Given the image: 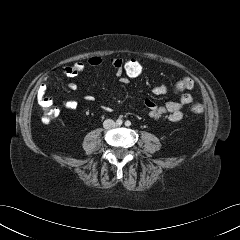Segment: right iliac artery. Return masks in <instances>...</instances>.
<instances>
[{"label": "right iliac artery", "instance_id": "obj_1", "mask_svg": "<svg viewBox=\"0 0 240 240\" xmlns=\"http://www.w3.org/2000/svg\"><path fill=\"white\" fill-rule=\"evenodd\" d=\"M122 123H123V121H122L121 119L116 120V124H117V125L120 126V125H122Z\"/></svg>", "mask_w": 240, "mask_h": 240}]
</instances>
